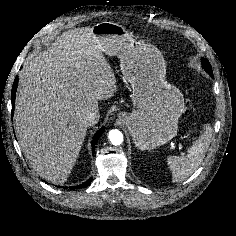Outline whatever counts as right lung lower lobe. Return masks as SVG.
Segmentation results:
<instances>
[{
	"label": "right lung lower lobe",
	"mask_w": 236,
	"mask_h": 236,
	"mask_svg": "<svg viewBox=\"0 0 236 236\" xmlns=\"http://www.w3.org/2000/svg\"><path fill=\"white\" fill-rule=\"evenodd\" d=\"M17 83H18V77L15 78L14 80V83H13V87H12V92H11V102H12V116L14 114V105H15V94H16V89H17ZM104 132V127L101 128L94 136L93 140H92V151L94 152V147H95V144L98 140V138L100 137V135ZM92 179H89L88 181H86L85 183L81 184V185H78V186H73V187H70L72 189H77V188H85L87 187L90 183H91ZM61 187V186H59Z\"/></svg>",
	"instance_id": "obj_1"
}]
</instances>
